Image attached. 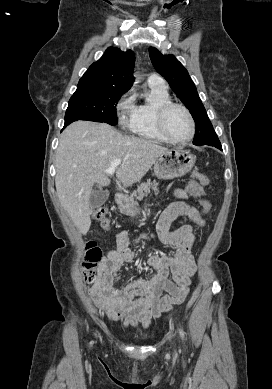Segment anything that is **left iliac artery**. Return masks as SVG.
<instances>
[{
    "mask_svg": "<svg viewBox=\"0 0 272 389\" xmlns=\"http://www.w3.org/2000/svg\"><path fill=\"white\" fill-rule=\"evenodd\" d=\"M179 333H180V336L182 337V339L184 338V332L182 329H179Z\"/></svg>",
    "mask_w": 272,
    "mask_h": 389,
    "instance_id": "44dca946",
    "label": "left iliac artery"
}]
</instances>
